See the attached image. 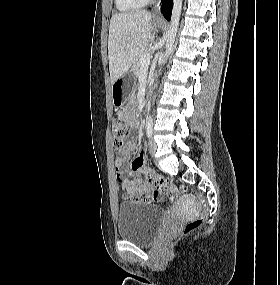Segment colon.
<instances>
[{
  "instance_id": "colon-1",
  "label": "colon",
  "mask_w": 280,
  "mask_h": 285,
  "mask_svg": "<svg viewBox=\"0 0 280 285\" xmlns=\"http://www.w3.org/2000/svg\"><path fill=\"white\" fill-rule=\"evenodd\" d=\"M129 135V127L122 120L116 118L112 122V140L116 148L124 146L125 141ZM145 177L153 186L160 192L166 194L170 200H174L178 194L177 187L168 179L163 176L157 175L152 169H146L144 172ZM199 204L202 206L203 211L196 218L186 223L183 228V234L188 235L198 229L204 222L206 210L208 207L207 199L201 193H196ZM133 202H140L143 197L134 194L131 196Z\"/></svg>"
}]
</instances>
